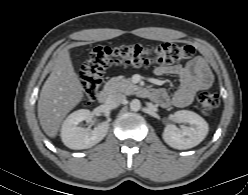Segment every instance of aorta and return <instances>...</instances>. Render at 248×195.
<instances>
[{
    "mask_svg": "<svg viewBox=\"0 0 248 195\" xmlns=\"http://www.w3.org/2000/svg\"><path fill=\"white\" fill-rule=\"evenodd\" d=\"M141 108V102L138 100V99H133L131 102H130V109L132 111H139Z\"/></svg>",
    "mask_w": 248,
    "mask_h": 195,
    "instance_id": "aorta-1",
    "label": "aorta"
}]
</instances>
